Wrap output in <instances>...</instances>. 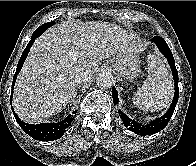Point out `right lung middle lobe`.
Returning <instances> with one entry per match:
<instances>
[{
	"label": "right lung middle lobe",
	"mask_w": 196,
	"mask_h": 166,
	"mask_svg": "<svg viewBox=\"0 0 196 166\" xmlns=\"http://www.w3.org/2000/svg\"><path fill=\"white\" fill-rule=\"evenodd\" d=\"M53 24H54L53 21L48 22V23H45V24H43L42 26H39V27L36 29V31H35L34 33H35V34H37V33L42 34L47 28L53 26Z\"/></svg>",
	"instance_id": "dd1d6c3e"
}]
</instances>
